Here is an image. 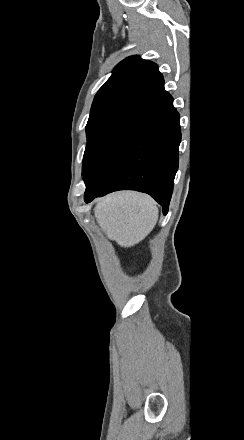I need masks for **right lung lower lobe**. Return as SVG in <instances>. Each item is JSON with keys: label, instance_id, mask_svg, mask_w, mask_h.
<instances>
[{"label": "right lung lower lobe", "instance_id": "1", "mask_svg": "<svg viewBox=\"0 0 244 440\" xmlns=\"http://www.w3.org/2000/svg\"><path fill=\"white\" fill-rule=\"evenodd\" d=\"M179 114L164 86L141 98L114 126L83 179L85 202L117 190L148 193L166 214L178 169Z\"/></svg>", "mask_w": 244, "mask_h": 440}]
</instances>
